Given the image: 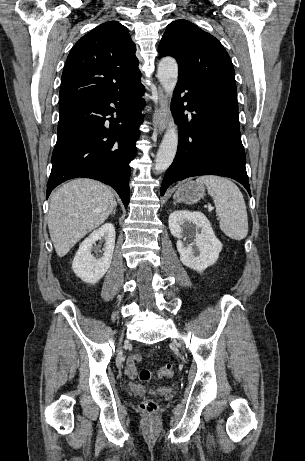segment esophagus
Instances as JSON below:
<instances>
[{
    "label": "esophagus",
    "instance_id": "obj_1",
    "mask_svg": "<svg viewBox=\"0 0 305 461\" xmlns=\"http://www.w3.org/2000/svg\"><path fill=\"white\" fill-rule=\"evenodd\" d=\"M159 105L154 110L153 119L155 130L162 134L167 127L168 104L163 89L158 87Z\"/></svg>",
    "mask_w": 305,
    "mask_h": 461
}]
</instances>
